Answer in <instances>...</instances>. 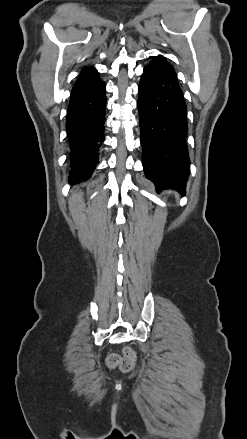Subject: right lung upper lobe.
<instances>
[{
    "mask_svg": "<svg viewBox=\"0 0 247 439\" xmlns=\"http://www.w3.org/2000/svg\"><path fill=\"white\" fill-rule=\"evenodd\" d=\"M99 74L95 68L85 67L82 69L79 78L75 82L73 91H81L93 87L100 83Z\"/></svg>",
    "mask_w": 247,
    "mask_h": 439,
    "instance_id": "right-lung-upper-lobe-1",
    "label": "right lung upper lobe"
}]
</instances>
